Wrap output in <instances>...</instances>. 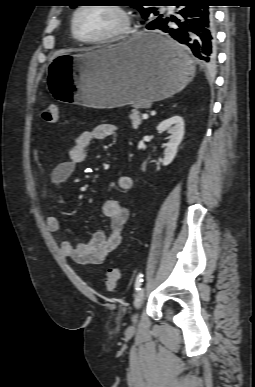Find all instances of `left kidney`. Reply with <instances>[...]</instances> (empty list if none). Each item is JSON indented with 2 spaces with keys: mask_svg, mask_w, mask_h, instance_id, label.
<instances>
[{
  "mask_svg": "<svg viewBox=\"0 0 255 387\" xmlns=\"http://www.w3.org/2000/svg\"><path fill=\"white\" fill-rule=\"evenodd\" d=\"M159 133L166 131L169 136V141L166 144L164 151L163 166L169 165L177 154V149L184 136V120L181 116L175 115L164 121L158 126Z\"/></svg>",
  "mask_w": 255,
  "mask_h": 387,
  "instance_id": "1",
  "label": "left kidney"
}]
</instances>
